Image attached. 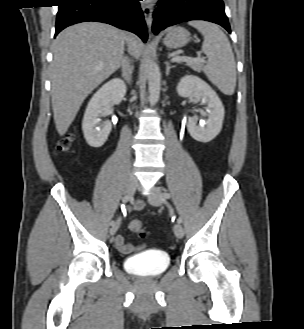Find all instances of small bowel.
Segmentation results:
<instances>
[{
  "label": "small bowel",
  "mask_w": 304,
  "mask_h": 329,
  "mask_svg": "<svg viewBox=\"0 0 304 329\" xmlns=\"http://www.w3.org/2000/svg\"><path fill=\"white\" fill-rule=\"evenodd\" d=\"M135 209H141L143 207V203L141 201L135 204ZM115 246L117 250L123 254H130L138 250H142L144 245L134 246L125 242V237L121 234L115 237Z\"/></svg>",
  "instance_id": "obj_1"
}]
</instances>
